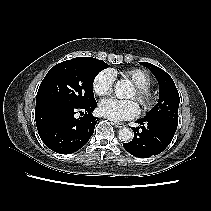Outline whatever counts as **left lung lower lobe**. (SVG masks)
<instances>
[{"mask_svg": "<svg viewBox=\"0 0 211 211\" xmlns=\"http://www.w3.org/2000/svg\"><path fill=\"white\" fill-rule=\"evenodd\" d=\"M141 126L132 127L134 138L123 147L133 156L149 158L161 153L171 142L177 126L160 120L142 118L137 121ZM141 128V131L138 129Z\"/></svg>", "mask_w": 211, "mask_h": 211, "instance_id": "0a47b994", "label": "left lung lower lobe"}]
</instances>
